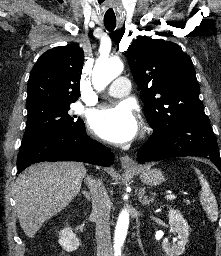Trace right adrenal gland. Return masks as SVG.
<instances>
[{"label":"right adrenal gland","instance_id":"right-adrenal-gland-1","mask_svg":"<svg viewBox=\"0 0 221 256\" xmlns=\"http://www.w3.org/2000/svg\"><path fill=\"white\" fill-rule=\"evenodd\" d=\"M83 193V195L85 196V198L88 200V201H90V193L89 192H87V191H83L82 192Z\"/></svg>","mask_w":221,"mask_h":256}]
</instances>
